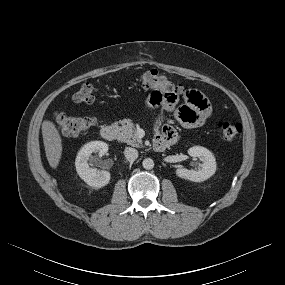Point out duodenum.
Here are the masks:
<instances>
[{
    "instance_id": "duodenum-1",
    "label": "duodenum",
    "mask_w": 285,
    "mask_h": 285,
    "mask_svg": "<svg viewBox=\"0 0 285 285\" xmlns=\"http://www.w3.org/2000/svg\"><path fill=\"white\" fill-rule=\"evenodd\" d=\"M100 134L106 141H114L117 138V129L113 125H105L101 128ZM169 144V141L164 138H155L153 148L158 152H162Z\"/></svg>"
}]
</instances>
